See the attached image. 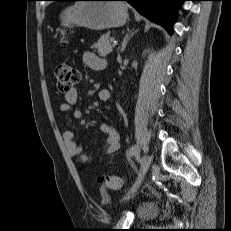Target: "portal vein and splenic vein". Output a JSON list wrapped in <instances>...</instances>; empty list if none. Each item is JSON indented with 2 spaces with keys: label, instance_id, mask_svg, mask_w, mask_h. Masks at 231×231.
<instances>
[{
  "label": "portal vein and splenic vein",
  "instance_id": "obj_1",
  "mask_svg": "<svg viewBox=\"0 0 231 231\" xmlns=\"http://www.w3.org/2000/svg\"><path fill=\"white\" fill-rule=\"evenodd\" d=\"M110 41H111V42H113L114 44H116V43H117V41L115 40V38H114V37H112V38L110 39Z\"/></svg>",
  "mask_w": 231,
  "mask_h": 231
}]
</instances>
